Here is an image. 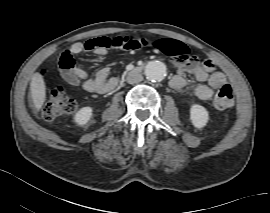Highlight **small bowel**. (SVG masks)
Instances as JSON below:
<instances>
[{
	"instance_id": "obj_1",
	"label": "small bowel",
	"mask_w": 270,
	"mask_h": 213,
	"mask_svg": "<svg viewBox=\"0 0 270 213\" xmlns=\"http://www.w3.org/2000/svg\"><path fill=\"white\" fill-rule=\"evenodd\" d=\"M180 45L181 51L177 54L179 57H171L172 64L178 70V73L171 79V87L177 92H184L187 89L184 75L189 73L201 83L194 90V94L203 100L210 99L215 90L229 82L227 75L222 71L215 70V64L212 60H208V66L198 64L192 51L186 45L182 43ZM138 48L139 44L136 39L125 36L96 37L66 47L62 51L61 57L72 59L74 55L82 54L87 50H93L97 56L102 57L108 51L137 50ZM158 48L164 50L162 46ZM61 74L70 85L82 86L90 93L106 94L118 85V78L110 77L108 68L100 69L94 78H90L86 70L76 65L69 71L62 69Z\"/></svg>"
}]
</instances>
